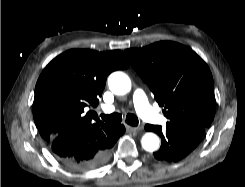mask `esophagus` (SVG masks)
I'll return each instance as SVG.
<instances>
[{
	"label": "esophagus",
	"mask_w": 245,
	"mask_h": 187,
	"mask_svg": "<svg viewBox=\"0 0 245 187\" xmlns=\"http://www.w3.org/2000/svg\"><path fill=\"white\" fill-rule=\"evenodd\" d=\"M126 130L130 132H136V131L143 130V127H134V126L126 125Z\"/></svg>",
	"instance_id": "obj_1"
}]
</instances>
